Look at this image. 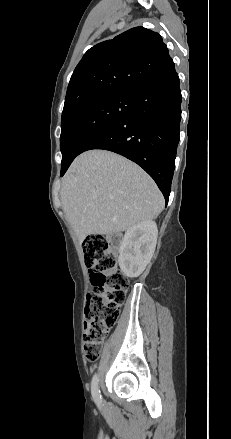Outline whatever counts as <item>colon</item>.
Wrapping results in <instances>:
<instances>
[{"mask_svg":"<svg viewBox=\"0 0 231 439\" xmlns=\"http://www.w3.org/2000/svg\"><path fill=\"white\" fill-rule=\"evenodd\" d=\"M83 252L93 285V290L86 297L84 351L89 361H96L105 335L118 319L128 279L120 271L117 257L103 236L86 237Z\"/></svg>","mask_w":231,"mask_h":439,"instance_id":"colon-1","label":"colon"}]
</instances>
